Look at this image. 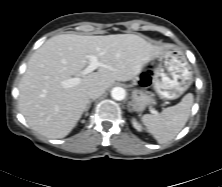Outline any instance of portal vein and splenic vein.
I'll use <instances>...</instances> for the list:
<instances>
[{
    "label": "portal vein and splenic vein",
    "instance_id": "18ae733b",
    "mask_svg": "<svg viewBox=\"0 0 222 187\" xmlns=\"http://www.w3.org/2000/svg\"><path fill=\"white\" fill-rule=\"evenodd\" d=\"M88 59L90 61L89 65L83 70V74L86 75V74H89L91 72H93L94 70H96L98 67L100 66H104L102 63H100L98 61V58L96 56H93V55H89L88 56ZM80 82V79L75 77V78H70V79H67V80H64L61 82V85L64 87V88H69V87H73L77 84H79ZM156 113V112H154Z\"/></svg>",
    "mask_w": 222,
    "mask_h": 187
}]
</instances>
